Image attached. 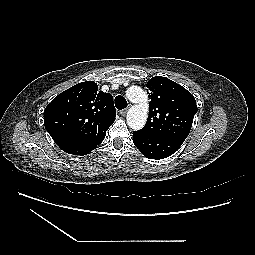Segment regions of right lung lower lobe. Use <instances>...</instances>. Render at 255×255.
<instances>
[{"label":"right lung lower lobe","instance_id":"98d812e1","mask_svg":"<svg viewBox=\"0 0 255 255\" xmlns=\"http://www.w3.org/2000/svg\"><path fill=\"white\" fill-rule=\"evenodd\" d=\"M104 138H105V135H104L100 140H98V141H96L95 143H93V144L88 148L86 154H88V153L91 152L93 149H95V148L97 147V145H99V144L103 141ZM86 154H85V155H86Z\"/></svg>","mask_w":255,"mask_h":255}]
</instances>
